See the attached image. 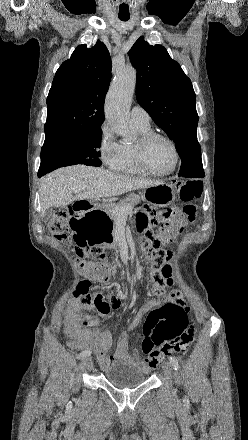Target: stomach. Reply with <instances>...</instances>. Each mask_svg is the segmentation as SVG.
<instances>
[{"mask_svg":"<svg viewBox=\"0 0 248 440\" xmlns=\"http://www.w3.org/2000/svg\"><path fill=\"white\" fill-rule=\"evenodd\" d=\"M144 199L156 207L170 205L175 199L174 188L166 183L151 186L144 191ZM82 218H71L70 230L75 241H85V246H116L117 220L111 218V209L81 207Z\"/></svg>","mask_w":248,"mask_h":440,"instance_id":"obj_1","label":"stomach"}]
</instances>
